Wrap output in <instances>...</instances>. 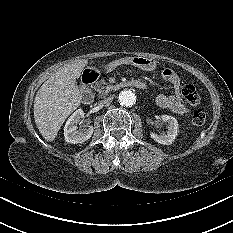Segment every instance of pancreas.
I'll return each instance as SVG.
<instances>
[{"instance_id": "pancreas-1", "label": "pancreas", "mask_w": 233, "mask_h": 233, "mask_svg": "<svg viewBox=\"0 0 233 233\" xmlns=\"http://www.w3.org/2000/svg\"><path fill=\"white\" fill-rule=\"evenodd\" d=\"M113 88V86L109 85L104 80H100L95 86V90L98 92V95L101 98L108 95L109 92L113 90Z\"/></svg>"}]
</instances>
